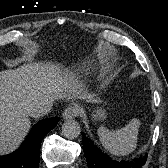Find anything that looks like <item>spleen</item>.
Returning a JSON list of instances; mask_svg holds the SVG:
<instances>
[{
  "label": "spleen",
  "instance_id": "obj_1",
  "mask_svg": "<svg viewBox=\"0 0 168 168\" xmlns=\"http://www.w3.org/2000/svg\"><path fill=\"white\" fill-rule=\"evenodd\" d=\"M139 126L140 121L132 119L123 128L112 131L101 126L97 132L103 147L107 151L116 156H125L137 147Z\"/></svg>",
  "mask_w": 168,
  "mask_h": 168
}]
</instances>
